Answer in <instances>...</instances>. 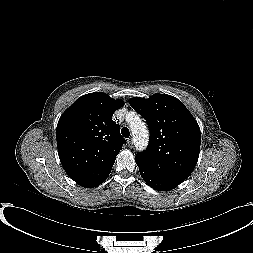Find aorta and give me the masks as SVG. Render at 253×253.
<instances>
[{
  "label": "aorta",
  "instance_id": "762f6f07",
  "mask_svg": "<svg viewBox=\"0 0 253 253\" xmlns=\"http://www.w3.org/2000/svg\"><path fill=\"white\" fill-rule=\"evenodd\" d=\"M130 128L134 136L136 149H144L149 141L147 126L142 121L137 120L136 122L131 123Z\"/></svg>",
  "mask_w": 253,
  "mask_h": 253
}]
</instances>
